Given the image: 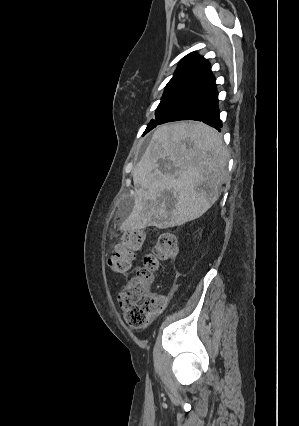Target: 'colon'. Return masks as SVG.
<instances>
[{
	"instance_id": "colon-1",
	"label": "colon",
	"mask_w": 299,
	"mask_h": 426,
	"mask_svg": "<svg viewBox=\"0 0 299 426\" xmlns=\"http://www.w3.org/2000/svg\"><path fill=\"white\" fill-rule=\"evenodd\" d=\"M145 240L143 230H129L121 234L107 264L115 274H126L135 254L142 248ZM178 246L174 235L165 233L159 236L151 254L145 256L143 265L130 278L118 295L126 322L133 328H143L149 319L165 305L164 296L151 292L154 273L162 261L175 258Z\"/></svg>"
}]
</instances>
